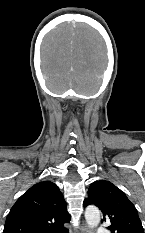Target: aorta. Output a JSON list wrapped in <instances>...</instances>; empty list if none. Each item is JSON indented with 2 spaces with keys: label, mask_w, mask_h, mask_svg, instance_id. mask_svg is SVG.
Masks as SVG:
<instances>
[{
  "label": "aorta",
  "mask_w": 145,
  "mask_h": 233,
  "mask_svg": "<svg viewBox=\"0 0 145 233\" xmlns=\"http://www.w3.org/2000/svg\"><path fill=\"white\" fill-rule=\"evenodd\" d=\"M85 219L91 229L96 228L100 223V211L95 206H88L85 210Z\"/></svg>",
  "instance_id": "obj_1"
}]
</instances>
